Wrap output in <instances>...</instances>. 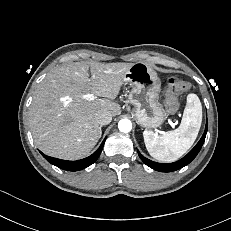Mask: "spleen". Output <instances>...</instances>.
I'll list each match as a JSON object with an SVG mask.
<instances>
[{"label":"spleen","mask_w":231,"mask_h":231,"mask_svg":"<svg viewBox=\"0 0 231 231\" xmlns=\"http://www.w3.org/2000/svg\"><path fill=\"white\" fill-rule=\"evenodd\" d=\"M202 122V105L196 94L187 96L180 126L163 135L145 130L143 138L149 154L161 162L179 159L194 143Z\"/></svg>","instance_id":"obj_1"}]
</instances>
